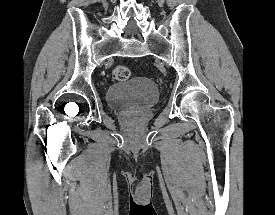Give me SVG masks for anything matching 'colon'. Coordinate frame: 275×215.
Segmentation results:
<instances>
[{
    "instance_id": "obj_1",
    "label": "colon",
    "mask_w": 275,
    "mask_h": 215,
    "mask_svg": "<svg viewBox=\"0 0 275 215\" xmlns=\"http://www.w3.org/2000/svg\"><path fill=\"white\" fill-rule=\"evenodd\" d=\"M112 78L117 81H125L130 78V70L122 65H117L112 69Z\"/></svg>"
}]
</instances>
